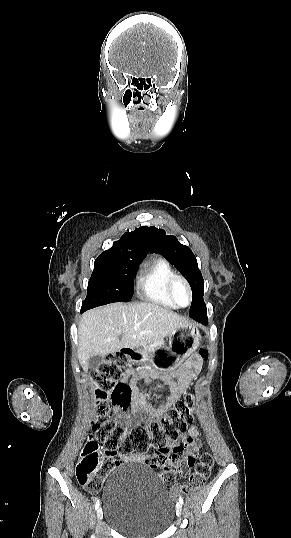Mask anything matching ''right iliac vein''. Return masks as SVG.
Instances as JSON below:
<instances>
[{"label": "right iliac vein", "instance_id": "right-iliac-vein-1", "mask_svg": "<svg viewBox=\"0 0 291 538\" xmlns=\"http://www.w3.org/2000/svg\"><path fill=\"white\" fill-rule=\"evenodd\" d=\"M103 518V511L101 507L97 509V520L100 521ZM94 538V537H93Z\"/></svg>", "mask_w": 291, "mask_h": 538}]
</instances>
